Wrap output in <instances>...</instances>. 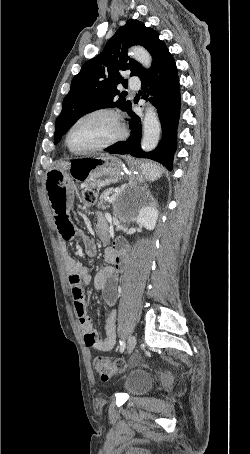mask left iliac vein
Listing matches in <instances>:
<instances>
[{
  "label": "left iliac vein",
  "instance_id": "4c4485c4",
  "mask_svg": "<svg viewBox=\"0 0 250 454\" xmlns=\"http://www.w3.org/2000/svg\"><path fill=\"white\" fill-rule=\"evenodd\" d=\"M137 344V339L135 336H130L129 339H128V344H127V350H128V353H131L135 346Z\"/></svg>",
  "mask_w": 250,
  "mask_h": 454
}]
</instances>
